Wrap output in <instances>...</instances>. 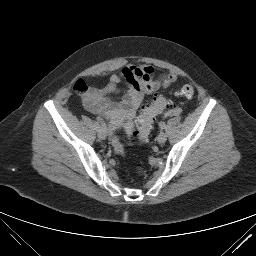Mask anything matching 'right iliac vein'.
Here are the masks:
<instances>
[{
    "label": "right iliac vein",
    "instance_id": "right-iliac-vein-1",
    "mask_svg": "<svg viewBox=\"0 0 256 256\" xmlns=\"http://www.w3.org/2000/svg\"><path fill=\"white\" fill-rule=\"evenodd\" d=\"M98 137H99L101 140H104V139L106 138V131L103 130V129L98 130Z\"/></svg>",
    "mask_w": 256,
    "mask_h": 256
}]
</instances>
